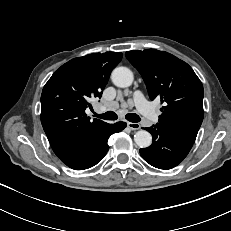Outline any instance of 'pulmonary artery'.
Wrapping results in <instances>:
<instances>
[{
    "label": "pulmonary artery",
    "mask_w": 231,
    "mask_h": 231,
    "mask_svg": "<svg viewBox=\"0 0 231 231\" xmlns=\"http://www.w3.org/2000/svg\"><path fill=\"white\" fill-rule=\"evenodd\" d=\"M133 100L137 109L146 116L150 121H157V114L152 106L147 102L145 97L140 91H136L133 94ZM114 104H111L110 107H113Z\"/></svg>",
    "instance_id": "1"
}]
</instances>
